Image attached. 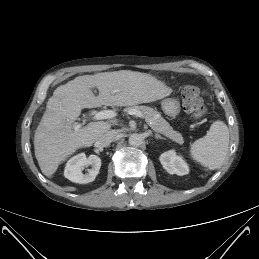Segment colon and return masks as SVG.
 Listing matches in <instances>:
<instances>
[{
	"label": "colon",
	"instance_id": "colon-1",
	"mask_svg": "<svg viewBox=\"0 0 259 259\" xmlns=\"http://www.w3.org/2000/svg\"><path fill=\"white\" fill-rule=\"evenodd\" d=\"M182 102L184 110L194 119H202L206 112V106L203 101L202 91L193 85L184 87L182 91Z\"/></svg>",
	"mask_w": 259,
	"mask_h": 259
}]
</instances>
